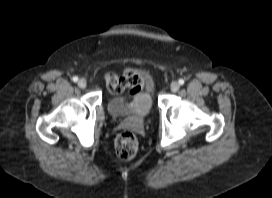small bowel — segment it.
<instances>
[{"mask_svg":"<svg viewBox=\"0 0 272 198\" xmlns=\"http://www.w3.org/2000/svg\"><path fill=\"white\" fill-rule=\"evenodd\" d=\"M107 82L110 91L121 93L127 89V96L129 97H136L142 94L150 85L147 73L135 68H126L121 78L110 75Z\"/></svg>","mask_w":272,"mask_h":198,"instance_id":"c3829d8e","label":"small bowel"}]
</instances>
